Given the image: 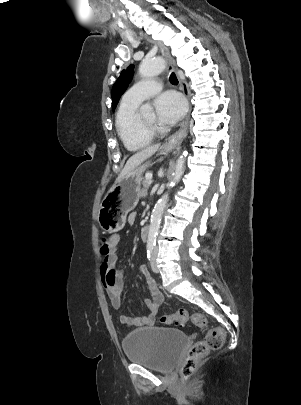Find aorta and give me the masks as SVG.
<instances>
[{"mask_svg": "<svg viewBox=\"0 0 301 405\" xmlns=\"http://www.w3.org/2000/svg\"><path fill=\"white\" fill-rule=\"evenodd\" d=\"M165 69V61L161 58L143 60L139 66V74L142 77H153L160 74ZM187 151H184L180 157L177 159L175 164V170L173 172V177L170 182V187H174L181 179L185 171ZM169 200V192H166L155 204L154 209L151 214V220L148 230L147 237V247L153 249L156 244V237L160 228V222L162 218L163 211Z\"/></svg>", "mask_w": 301, "mask_h": 405, "instance_id": "1", "label": "aorta"}]
</instances>
